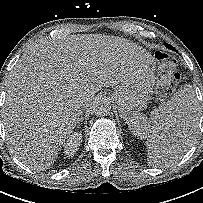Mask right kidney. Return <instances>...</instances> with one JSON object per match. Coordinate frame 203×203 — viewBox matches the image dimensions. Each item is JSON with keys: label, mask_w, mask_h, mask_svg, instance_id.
<instances>
[{"label": "right kidney", "mask_w": 203, "mask_h": 203, "mask_svg": "<svg viewBox=\"0 0 203 203\" xmlns=\"http://www.w3.org/2000/svg\"><path fill=\"white\" fill-rule=\"evenodd\" d=\"M65 143V151L64 153L67 156H72L74 153L79 149V146L82 142V134L81 133H74Z\"/></svg>", "instance_id": "1"}]
</instances>
